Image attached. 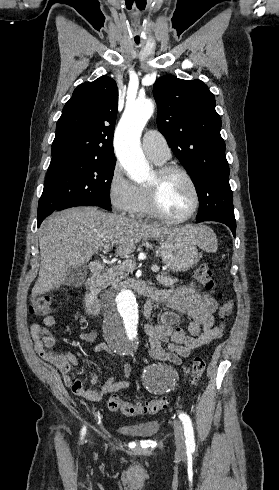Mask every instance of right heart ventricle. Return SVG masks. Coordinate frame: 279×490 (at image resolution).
Segmentation results:
<instances>
[{
  "mask_svg": "<svg viewBox=\"0 0 279 490\" xmlns=\"http://www.w3.org/2000/svg\"><path fill=\"white\" fill-rule=\"evenodd\" d=\"M139 191L142 196V208L140 210L139 216H147L150 215L149 209V200H148V188L147 187H139Z\"/></svg>",
  "mask_w": 279,
  "mask_h": 490,
  "instance_id": "1",
  "label": "right heart ventricle"
}]
</instances>
